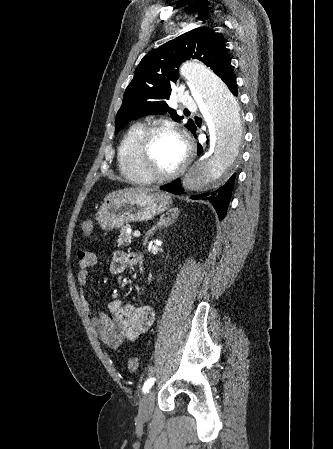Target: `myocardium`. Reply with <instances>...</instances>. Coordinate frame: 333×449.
Returning <instances> with one entry per match:
<instances>
[{"instance_id":"myocardium-1","label":"myocardium","mask_w":333,"mask_h":449,"mask_svg":"<svg viewBox=\"0 0 333 449\" xmlns=\"http://www.w3.org/2000/svg\"><path fill=\"white\" fill-rule=\"evenodd\" d=\"M160 131H167L175 134L181 140L185 149V155L181 163L168 173L156 172L152 170L148 164L152 140ZM191 159L192 149L185 135L178 127L168 122L156 121L146 126L137 144L138 168L149 181L166 182L177 178L188 167Z\"/></svg>"}]
</instances>
